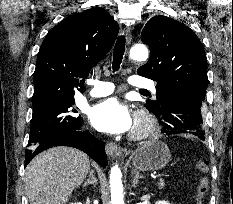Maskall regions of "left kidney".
<instances>
[{
    "mask_svg": "<svg viewBox=\"0 0 233 204\" xmlns=\"http://www.w3.org/2000/svg\"><path fill=\"white\" fill-rule=\"evenodd\" d=\"M155 204H170L168 201H157Z\"/></svg>",
    "mask_w": 233,
    "mask_h": 204,
    "instance_id": "5707ae66",
    "label": "left kidney"
}]
</instances>
